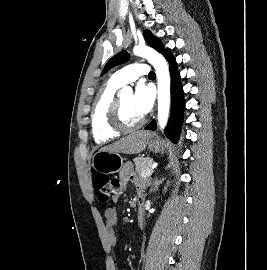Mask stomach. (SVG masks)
Listing matches in <instances>:
<instances>
[{"mask_svg": "<svg viewBox=\"0 0 267 270\" xmlns=\"http://www.w3.org/2000/svg\"><path fill=\"white\" fill-rule=\"evenodd\" d=\"M149 149L158 151L160 144L158 141L152 139V135L147 142ZM92 166L97 172L103 174H113L118 172L123 166V158L118 152H109L99 150L92 159Z\"/></svg>", "mask_w": 267, "mask_h": 270, "instance_id": "0dacf381", "label": "stomach"}]
</instances>
